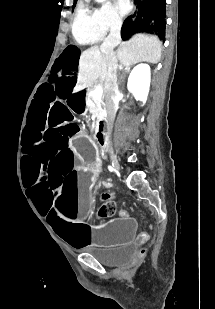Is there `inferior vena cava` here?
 <instances>
[{
  "label": "inferior vena cava",
  "mask_w": 215,
  "mask_h": 309,
  "mask_svg": "<svg viewBox=\"0 0 215 309\" xmlns=\"http://www.w3.org/2000/svg\"><path fill=\"white\" fill-rule=\"evenodd\" d=\"M122 26V18L118 16V18H114L111 22L110 32L103 40L100 50L105 52L106 64H107V72L104 80V98L106 104V122L108 132H112L113 122L115 120L118 102L120 100V90L118 86V78H117V58L114 52L115 46L120 44L121 42V30Z\"/></svg>",
  "instance_id": "1"
}]
</instances>
